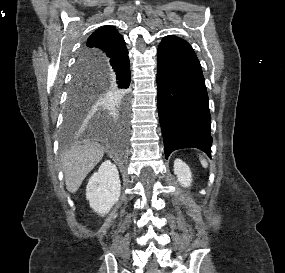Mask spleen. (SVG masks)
Segmentation results:
<instances>
[{
  "label": "spleen",
  "mask_w": 285,
  "mask_h": 273,
  "mask_svg": "<svg viewBox=\"0 0 285 273\" xmlns=\"http://www.w3.org/2000/svg\"><path fill=\"white\" fill-rule=\"evenodd\" d=\"M200 162H201V164H202V166H203L204 168H206V167L208 166L207 161H206L204 158H202V157H200Z\"/></svg>",
  "instance_id": "1"
}]
</instances>
